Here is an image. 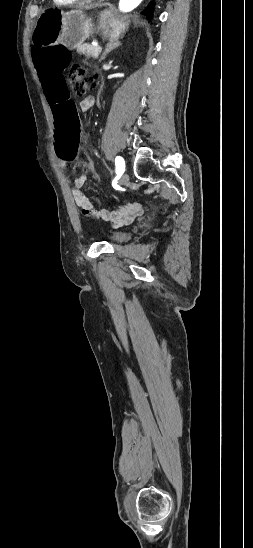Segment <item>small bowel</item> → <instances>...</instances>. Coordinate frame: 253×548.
I'll list each match as a JSON object with an SVG mask.
<instances>
[{"mask_svg": "<svg viewBox=\"0 0 253 548\" xmlns=\"http://www.w3.org/2000/svg\"><path fill=\"white\" fill-rule=\"evenodd\" d=\"M45 97L47 99V96ZM94 104V96L88 95L79 103V108L82 111H88L94 106ZM69 161L70 160L58 159L59 165L63 168L67 166ZM85 182L86 176L83 174L74 177L71 180L72 195L76 204L82 209V213L84 215L101 218L103 220L109 221L114 226H122L130 223L136 216L142 213V205L136 201L122 204L119 200H116V207L114 209L95 210L90 199L82 191V187Z\"/></svg>", "mask_w": 253, "mask_h": 548, "instance_id": "c3829d8e", "label": "small bowel"}]
</instances>
